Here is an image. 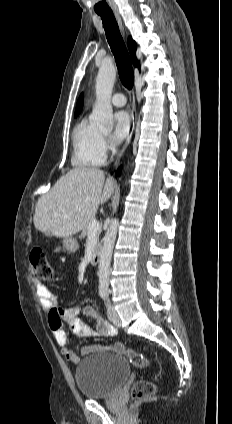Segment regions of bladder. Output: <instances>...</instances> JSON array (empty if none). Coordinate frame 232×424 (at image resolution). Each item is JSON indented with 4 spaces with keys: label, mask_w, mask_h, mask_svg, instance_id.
I'll use <instances>...</instances> for the list:
<instances>
[{
    "label": "bladder",
    "mask_w": 232,
    "mask_h": 424,
    "mask_svg": "<svg viewBox=\"0 0 232 424\" xmlns=\"http://www.w3.org/2000/svg\"><path fill=\"white\" fill-rule=\"evenodd\" d=\"M130 375V365L126 359L96 353L80 361L75 370V381L84 398L97 400L113 396Z\"/></svg>",
    "instance_id": "bladder-1"
}]
</instances>
